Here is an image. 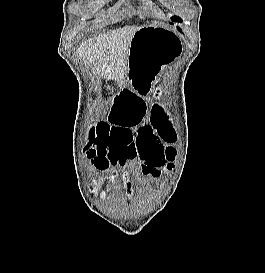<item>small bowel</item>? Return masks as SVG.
<instances>
[{
    "instance_id": "small-bowel-1",
    "label": "small bowel",
    "mask_w": 265,
    "mask_h": 273,
    "mask_svg": "<svg viewBox=\"0 0 265 273\" xmlns=\"http://www.w3.org/2000/svg\"><path fill=\"white\" fill-rule=\"evenodd\" d=\"M145 108L141 95L123 92L113 103L110 122L88 124V129H96L94 143L97 145L89 157L99 172L109 173L113 184L119 178L117 167L125 164L130 168L138 166L144 175L154 179L162 175L168 143L159 138L156 128H151L149 123L142 124ZM136 124H142L137 132L131 129ZM124 185L130 193L129 184L125 181Z\"/></svg>"
}]
</instances>
